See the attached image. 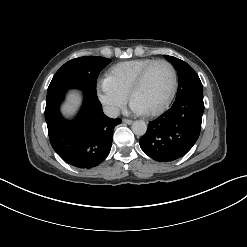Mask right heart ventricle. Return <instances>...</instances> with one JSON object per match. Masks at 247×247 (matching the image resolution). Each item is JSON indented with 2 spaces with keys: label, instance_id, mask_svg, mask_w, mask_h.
Returning a JSON list of instances; mask_svg holds the SVG:
<instances>
[{
  "label": "right heart ventricle",
  "instance_id": "obj_1",
  "mask_svg": "<svg viewBox=\"0 0 247 247\" xmlns=\"http://www.w3.org/2000/svg\"><path fill=\"white\" fill-rule=\"evenodd\" d=\"M154 61L155 59L142 58L120 62L110 68L107 77L128 92L140 72Z\"/></svg>",
  "mask_w": 247,
  "mask_h": 247
}]
</instances>
